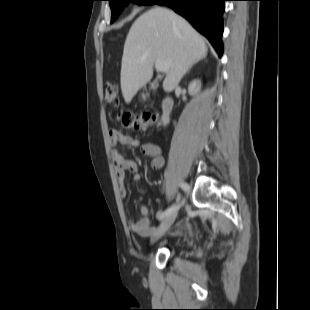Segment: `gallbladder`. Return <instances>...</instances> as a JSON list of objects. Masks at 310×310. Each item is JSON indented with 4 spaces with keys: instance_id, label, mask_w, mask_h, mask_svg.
I'll use <instances>...</instances> for the list:
<instances>
[{
    "instance_id": "bac80fb5",
    "label": "gallbladder",
    "mask_w": 310,
    "mask_h": 310,
    "mask_svg": "<svg viewBox=\"0 0 310 310\" xmlns=\"http://www.w3.org/2000/svg\"><path fill=\"white\" fill-rule=\"evenodd\" d=\"M158 87V82L151 83V89H155Z\"/></svg>"
}]
</instances>
